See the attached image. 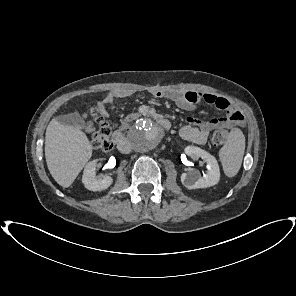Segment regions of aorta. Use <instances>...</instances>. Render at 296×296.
I'll return each instance as SVG.
<instances>
[{
    "label": "aorta",
    "mask_w": 296,
    "mask_h": 296,
    "mask_svg": "<svg viewBox=\"0 0 296 296\" xmlns=\"http://www.w3.org/2000/svg\"><path fill=\"white\" fill-rule=\"evenodd\" d=\"M163 134V130L152 120L142 118L129 130L128 140L135 151L147 152L161 143Z\"/></svg>",
    "instance_id": "obj_1"
}]
</instances>
